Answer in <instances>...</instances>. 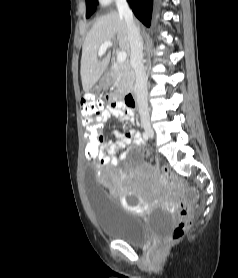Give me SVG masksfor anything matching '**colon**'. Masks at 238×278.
<instances>
[{"mask_svg":"<svg viewBox=\"0 0 238 278\" xmlns=\"http://www.w3.org/2000/svg\"><path fill=\"white\" fill-rule=\"evenodd\" d=\"M103 110V100L94 94H85L81 98L80 124L86 128V137L81 142L83 159H98L101 156L103 141V121L100 118ZM163 175L171 180L173 188L180 191V197H187L190 187L184 183V177L172 174L169 169L163 168ZM189 200L182 198L176 208L177 220L171 231L167 235L169 242L180 240L191 226V210L188 205Z\"/></svg>","mask_w":238,"mask_h":278,"instance_id":"1","label":"colon"}]
</instances>
